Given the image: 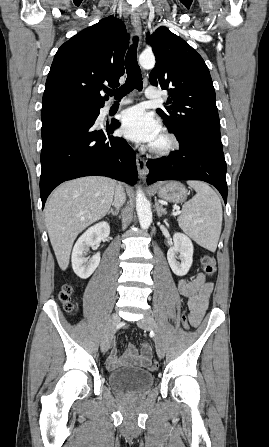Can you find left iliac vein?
<instances>
[{
    "instance_id": "left-iliac-vein-1",
    "label": "left iliac vein",
    "mask_w": 269,
    "mask_h": 447,
    "mask_svg": "<svg viewBox=\"0 0 269 447\" xmlns=\"http://www.w3.org/2000/svg\"><path fill=\"white\" fill-rule=\"evenodd\" d=\"M138 326L140 328H149L155 331L154 339L156 344V351L160 358L163 357L164 356L163 336L156 320L151 315H146L145 317H143L138 321Z\"/></svg>"
}]
</instances>
